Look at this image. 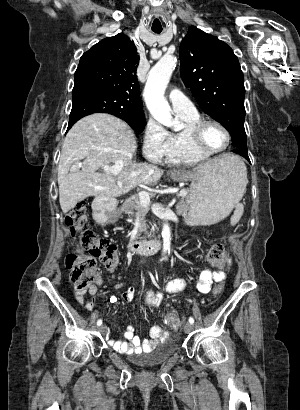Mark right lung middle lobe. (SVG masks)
Masks as SVG:
<instances>
[{"label": "right lung middle lobe", "mask_w": 300, "mask_h": 410, "mask_svg": "<svg viewBox=\"0 0 300 410\" xmlns=\"http://www.w3.org/2000/svg\"><path fill=\"white\" fill-rule=\"evenodd\" d=\"M118 107V101H116V98L109 92L89 84L74 85L68 129H70L76 121L86 115L104 112L123 119L131 128L137 131L144 130L146 121L143 115L136 117L122 116L117 112Z\"/></svg>", "instance_id": "right-lung-middle-lobe-1"}]
</instances>
